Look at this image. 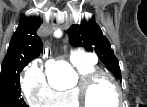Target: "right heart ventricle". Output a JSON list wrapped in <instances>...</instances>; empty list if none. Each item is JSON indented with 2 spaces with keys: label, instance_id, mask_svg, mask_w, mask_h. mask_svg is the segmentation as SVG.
I'll return each mask as SVG.
<instances>
[{
  "label": "right heart ventricle",
  "instance_id": "right-heart-ventricle-1",
  "mask_svg": "<svg viewBox=\"0 0 147 107\" xmlns=\"http://www.w3.org/2000/svg\"><path fill=\"white\" fill-rule=\"evenodd\" d=\"M74 66L76 67L80 78H83L95 71H98V67L96 66L95 60L74 63ZM53 104L58 105L60 107H81L77 99L75 87L64 91L56 92L55 101Z\"/></svg>",
  "mask_w": 147,
  "mask_h": 107
}]
</instances>
